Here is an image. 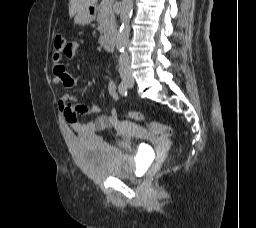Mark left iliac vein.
<instances>
[{
  "label": "left iliac vein",
  "instance_id": "obj_1",
  "mask_svg": "<svg viewBox=\"0 0 256 228\" xmlns=\"http://www.w3.org/2000/svg\"><path fill=\"white\" fill-rule=\"evenodd\" d=\"M133 84H134L133 79H130V81H129V83H128V86H129V87H132V86H133Z\"/></svg>",
  "mask_w": 256,
  "mask_h": 228
}]
</instances>
